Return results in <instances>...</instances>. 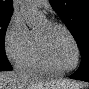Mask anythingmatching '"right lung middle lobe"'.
I'll use <instances>...</instances> for the list:
<instances>
[{
    "mask_svg": "<svg viewBox=\"0 0 89 89\" xmlns=\"http://www.w3.org/2000/svg\"><path fill=\"white\" fill-rule=\"evenodd\" d=\"M13 11L0 10V58L5 54L4 39L7 26L10 22Z\"/></svg>",
    "mask_w": 89,
    "mask_h": 89,
    "instance_id": "1",
    "label": "right lung middle lobe"
}]
</instances>
